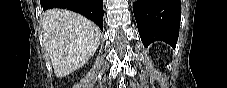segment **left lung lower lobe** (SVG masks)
<instances>
[{
	"label": "left lung lower lobe",
	"instance_id": "0a47b994",
	"mask_svg": "<svg viewBox=\"0 0 227 88\" xmlns=\"http://www.w3.org/2000/svg\"><path fill=\"white\" fill-rule=\"evenodd\" d=\"M138 31L145 47L164 41L175 48L180 26V0H138L133 4Z\"/></svg>",
	"mask_w": 227,
	"mask_h": 88
}]
</instances>
